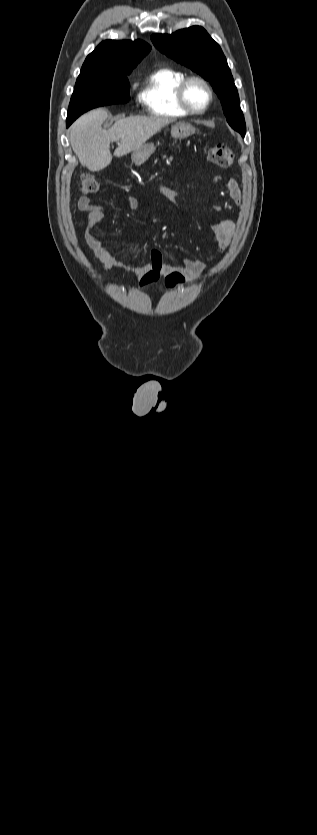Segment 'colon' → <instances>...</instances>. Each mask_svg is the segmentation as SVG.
<instances>
[{
	"label": "colon",
	"instance_id": "colon-1",
	"mask_svg": "<svg viewBox=\"0 0 317 835\" xmlns=\"http://www.w3.org/2000/svg\"><path fill=\"white\" fill-rule=\"evenodd\" d=\"M210 160L216 165L227 168L232 165L233 152L225 144H217L209 151ZM79 188L82 193L94 194L100 191V182L90 174H82L79 178ZM165 285L167 287H175L185 282V278L179 271H172L165 277Z\"/></svg>",
	"mask_w": 317,
	"mask_h": 835
}]
</instances>
